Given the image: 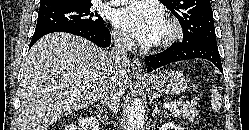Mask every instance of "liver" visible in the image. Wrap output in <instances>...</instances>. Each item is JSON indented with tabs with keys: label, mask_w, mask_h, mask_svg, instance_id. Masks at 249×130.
I'll return each mask as SVG.
<instances>
[{
	"label": "liver",
	"mask_w": 249,
	"mask_h": 130,
	"mask_svg": "<svg viewBox=\"0 0 249 130\" xmlns=\"http://www.w3.org/2000/svg\"><path fill=\"white\" fill-rule=\"evenodd\" d=\"M111 78L106 51L71 34L46 35L26 58L20 90V130H47L64 114L94 104ZM127 87L124 70L117 80L120 96Z\"/></svg>",
	"instance_id": "1"
}]
</instances>
